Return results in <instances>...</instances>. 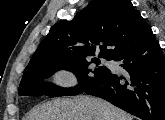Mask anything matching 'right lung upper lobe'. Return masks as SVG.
<instances>
[{
	"instance_id": "cb5924a9",
	"label": "right lung upper lobe",
	"mask_w": 165,
	"mask_h": 120,
	"mask_svg": "<svg viewBox=\"0 0 165 120\" xmlns=\"http://www.w3.org/2000/svg\"><path fill=\"white\" fill-rule=\"evenodd\" d=\"M151 34L130 0H93L72 20L53 25L28 65L95 55L113 60Z\"/></svg>"
}]
</instances>
